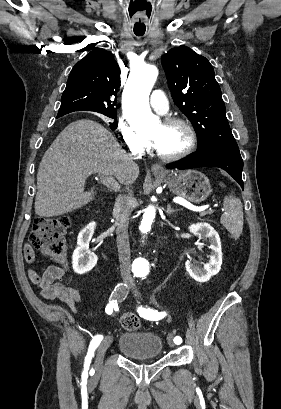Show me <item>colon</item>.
<instances>
[{"label":"colon","mask_w":281,"mask_h":409,"mask_svg":"<svg viewBox=\"0 0 281 409\" xmlns=\"http://www.w3.org/2000/svg\"><path fill=\"white\" fill-rule=\"evenodd\" d=\"M71 225V219L66 215L39 216L26 249H39L41 253L52 258L59 265H64L68 257L65 230ZM120 324L128 330H138L140 319L133 313H124L120 317Z\"/></svg>","instance_id":"1"}]
</instances>
